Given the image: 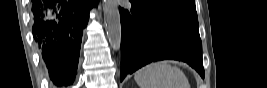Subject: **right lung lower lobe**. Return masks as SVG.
Masks as SVG:
<instances>
[{
	"label": "right lung lower lobe",
	"mask_w": 267,
	"mask_h": 88,
	"mask_svg": "<svg viewBox=\"0 0 267 88\" xmlns=\"http://www.w3.org/2000/svg\"><path fill=\"white\" fill-rule=\"evenodd\" d=\"M97 0H32V32L56 85L74 81L83 29Z\"/></svg>",
	"instance_id": "obj_1"
}]
</instances>
